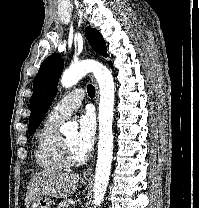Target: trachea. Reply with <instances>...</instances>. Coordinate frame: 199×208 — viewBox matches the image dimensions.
Segmentation results:
<instances>
[{
    "instance_id": "1",
    "label": "trachea",
    "mask_w": 199,
    "mask_h": 208,
    "mask_svg": "<svg viewBox=\"0 0 199 208\" xmlns=\"http://www.w3.org/2000/svg\"><path fill=\"white\" fill-rule=\"evenodd\" d=\"M87 92H88V95L93 98L95 96L94 86L91 84L87 85Z\"/></svg>"
}]
</instances>
